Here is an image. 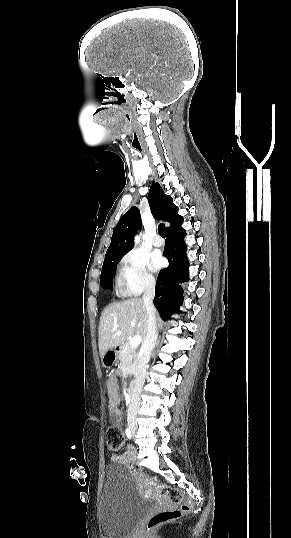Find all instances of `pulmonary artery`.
Returning a JSON list of instances; mask_svg holds the SVG:
<instances>
[{
  "label": "pulmonary artery",
  "mask_w": 291,
  "mask_h": 538,
  "mask_svg": "<svg viewBox=\"0 0 291 538\" xmlns=\"http://www.w3.org/2000/svg\"><path fill=\"white\" fill-rule=\"evenodd\" d=\"M152 245L154 247H161L163 245V241L162 239L159 237V236H156L153 240H152Z\"/></svg>",
  "instance_id": "e3ab8cb5"
}]
</instances>
